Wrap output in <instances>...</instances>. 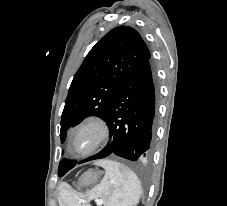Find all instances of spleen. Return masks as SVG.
<instances>
[{
  "label": "spleen",
  "instance_id": "1",
  "mask_svg": "<svg viewBox=\"0 0 227 206\" xmlns=\"http://www.w3.org/2000/svg\"><path fill=\"white\" fill-rule=\"evenodd\" d=\"M97 164L105 169V176L86 197L102 198L104 206H136L142 194L137 175L116 161L104 160ZM60 198L63 206H81L84 196L64 186Z\"/></svg>",
  "mask_w": 227,
  "mask_h": 206
}]
</instances>
